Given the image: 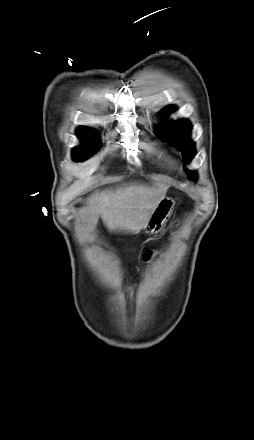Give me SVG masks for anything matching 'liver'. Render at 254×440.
Masks as SVG:
<instances>
[{"mask_svg":"<svg viewBox=\"0 0 254 440\" xmlns=\"http://www.w3.org/2000/svg\"><path fill=\"white\" fill-rule=\"evenodd\" d=\"M167 188L162 183H129L103 189L88 198L82 217L88 229H93L101 216L109 231L137 234L148 224Z\"/></svg>","mask_w":254,"mask_h":440,"instance_id":"liver-1","label":"liver"}]
</instances>
